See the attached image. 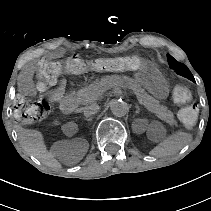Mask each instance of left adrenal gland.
<instances>
[{"label":"left adrenal gland","mask_w":211,"mask_h":211,"mask_svg":"<svg viewBox=\"0 0 211 211\" xmlns=\"http://www.w3.org/2000/svg\"><path fill=\"white\" fill-rule=\"evenodd\" d=\"M136 112L138 113L140 111V108L138 106H136Z\"/></svg>","instance_id":"left-adrenal-gland-1"}]
</instances>
